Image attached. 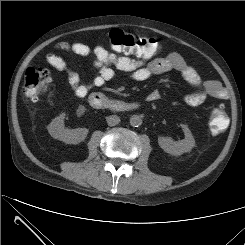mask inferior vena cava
<instances>
[{
  "instance_id": "inferior-vena-cava-1",
  "label": "inferior vena cava",
  "mask_w": 245,
  "mask_h": 245,
  "mask_svg": "<svg viewBox=\"0 0 245 245\" xmlns=\"http://www.w3.org/2000/svg\"><path fill=\"white\" fill-rule=\"evenodd\" d=\"M106 121L109 126H115L119 124L120 118L117 115H110L106 118Z\"/></svg>"
}]
</instances>
